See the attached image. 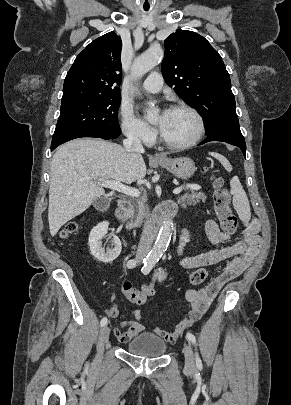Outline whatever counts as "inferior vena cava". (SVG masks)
I'll use <instances>...</instances> for the list:
<instances>
[{
    "instance_id": "602c4592",
    "label": "inferior vena cava",
    "mask_w": 291,
    "mask_h": 405,
    "mask_svg": "<svg viewBox=\"0 0 291 405\" xmlns=\"http://www.w3.org/2000/svg\"><path fill=\"white\" fill-rule=\"evenodd\" d=\"M123 145L125 150L129 153H143L144 148L140 141V138L134 131L127 132V138L123 140ZM155 236V224L150 214H147L146 221L144 224L141 239L136 252V259L141 261L146 257L151 249L153 240Z\"/></svg>"
}]
</instances>
